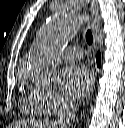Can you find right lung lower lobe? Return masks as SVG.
Segmentation results:
<instances>
[{
  "instance_id": "right-lung-lower-lobe-1",
  "label": "right lung lower lobe",
  "mask_w": 125,
  "mask_h": 128,
  "mask_svg": "<svg viewBox=\"0 0 125 128\" xmlns=\"http://www.w3.org/2000/svg\"><path fill=\"white\" fill-rule=\"evenodd\" d=\"M100 62H101V55H100V53L98 52V53H97V66H98V67L100 66Z\"/></svg>"
}]
</instances>
